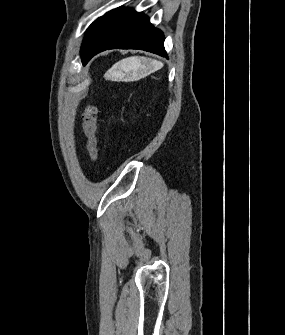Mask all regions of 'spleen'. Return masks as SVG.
<instances>
[{
	"instance_id": "spleen-1",
	"label": "spleen",
	"mask_w": 285,
	"mask_h": 335,
	"mask_svg": "<svg viewBox=\"0 0 285 335\" xmlns=\"http://www.w3.org/2000/svg\"><path fill=\"white\" fill-rule=\"evenodd\" d=\"M149 62L152 64L154 70H160V68H163L162 62H157V60H144V58H131L127 66L129 70L137 72V70H146V64H149Z\"/></svg>"
}]
</instances>
